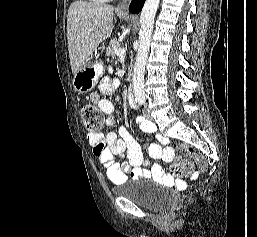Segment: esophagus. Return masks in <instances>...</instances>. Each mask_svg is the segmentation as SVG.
Returning <instances> with one entry per match:
<instances>
[{
    "label": "esophagus",
    "instance_id": "esophagus-1",
    "mask_svg": "<svg viewBox=\"0 0 257 237\" xmlns=\"http://www.w3.org/2000/svg\"><path fill=\"white\" fill-rule=\"evenodd\" d=\"M130 3V0H122V2H120L117 10L120 12H126L128 9V5Z\"/></svg>",
    "mask_w": 257,
    "mask_h": 237
}]
</instances>
